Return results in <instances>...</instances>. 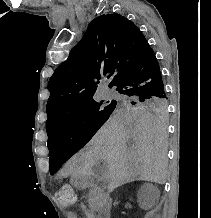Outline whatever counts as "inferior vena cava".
Masks as SVG:
<instances>
[{
  "mask_svg": "<svg viewBox=\"0 0 211 218\" xmlns=\"http://www.w3.org/2000/svg\"><path fill=\"white\" fill-rule=\"evenodd\" d=\"M114 184H116V182H110V186H114Z\"/></svg>",
  "mask_w": 211,
  "mask_h": 218,
  "instance_id": "602c4592",
  "label": "inferior vena cava"
}]
</instances>
